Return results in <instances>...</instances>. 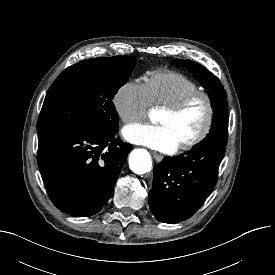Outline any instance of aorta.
<instances>
[{"instance_id": "aorta-1", "label": "aorta", "mask_w": 275, "mask_h": 275, "mask_svg": "<svg viewBox=\"0 0 275 275\" xmlns=\"http://www.w3.org/2000/svg\"><path fill=\"white\" fill-rule=\"evenodd\" d=\"M157 113L150 112V117L153 118ZM129 166L136 174H145L152 168V160L150 154L144 149H135L129 156Z\"/></svg>"}]
</instances>
